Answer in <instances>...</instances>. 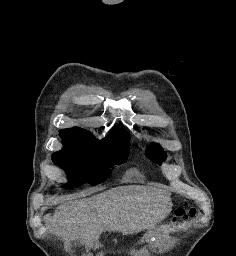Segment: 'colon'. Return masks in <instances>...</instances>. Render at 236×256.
I'll list each match as a JSON object with an SVG mask.
<instances>
[{
  "instance_id": "1",
  "label": "colon",
  "mask_w": 236,
  "mask_h": 256,
  "mask_svg": "<svg viewBox=\"0 0 236 256\" xmlns=\"http://www.w3.org/2000/svg\"><path fill=\"white\" fill-rule=\"evenodd\" d=\"M197 213L196 208L191 204H186L181 207H179L175 211L174 215V223H179L182 221H187L188 219L193 218Z\"/></svg>"
}]
</instances>
